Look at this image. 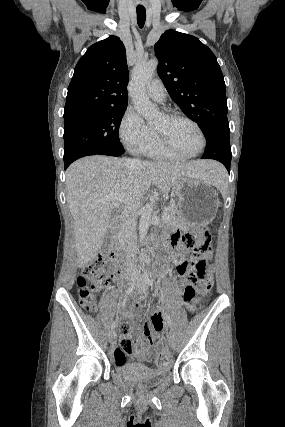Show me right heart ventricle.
Here are the masks:
<instances>
[{
	"label": "right heart ventricle",
	"mask_w": 285,
	"mask_h": 427,
	"mask_svg": "<svg viewBox=\"0 0 285 427\" xmlns=\"http://www.w3.org/2000/svg\"><path fill=\"white\" fill-rule=\"evenodd\" d=\"M151 130H152V139L149 142V144L144 148V150L141 152V154L149 158H153L157 160H166V161H176V160H182L184 158L176 153L169 151L164 146H162L153 128H151Z\"/></svg>",
	"instance_id": "1"
}]
</instances>
